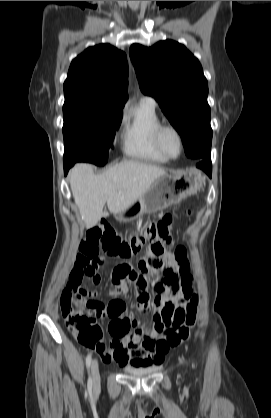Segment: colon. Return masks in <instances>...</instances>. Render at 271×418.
<instances>
[{"instance_id": "colon-1", "label": "colon", "mask_w": 271, "mask_h": 418, "mask_svg": "<svg viewBox=\"0 0 271 418\" xmlns=\"http://www.w3.org/2000/svg\"><path fill=\"white\" fill-rule=\"evenodd\" d=\"M170 223L171 217L165 215L129 239L119 236L107 221H102L87 231L86 237L80 242L76 261L60 297L64 322L81 345L94 350L105 346L103 330L95 319L99 314L87 315L80 308L84 293L80 285L83 280L96 282L97 267L103 266V260L99 257L101 250L111 257L130 258L145 244L149 245L153 241H161L168 247ZM175 259L179 264V272L183 275V279H187L189 265L186 260V251L183 248H177ZM197 304L198 297L191 293L184 307L163 310V326L157 330L163 336L158 343L159 349L177 347L189 338L190 331L196 322Z\"/></svg>"}]
</instances>
